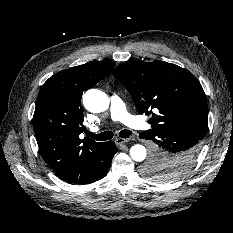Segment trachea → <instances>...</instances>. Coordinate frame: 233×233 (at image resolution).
I'll use <instances>...</instances> for the list:
<instances>
[{
    "label": "trachea",
    "mask_w": 233,
    "mask_h": 233,
    "mask_svg": "<svg viewBox=\"0 0 233 233\" xmlns=\"http://www.w3.org/2000/svg\"><path fill=\"white\" fill-rule=\"evenodd\" d=\"M86 134H87V136H89L97 141L110 140L114 136L112 131H105V132H102L100 134H94L92 132L87 131ZM131 134H132V132L129 130H122L119 132V137L128 138V137H130Z\"/></svg>",
    "instance_id": "3493384b"
}]
</instances>
